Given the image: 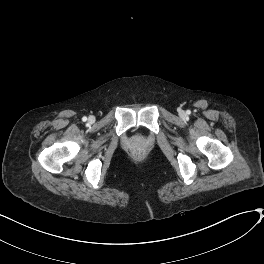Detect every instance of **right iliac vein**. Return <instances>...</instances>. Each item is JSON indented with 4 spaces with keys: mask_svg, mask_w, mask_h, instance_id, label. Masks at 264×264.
<instances>
[{
    "mask_svg": "<svg viewBox=\"0 0 264 264\" xmlns=\"http://www.w3.org/2000/svg\"><path fill=\"white\" fill-rule=\"evenodd\" d=\"M89 120L92 122L94 119H93V117H90Z\"/></svg>",
    "mask_w": 264,
    "mask_h": 264,
    "instance_id": "1",
    "label": "right iliac vein"
}]
</instances>
